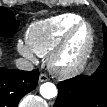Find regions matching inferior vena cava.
Returning <instances> with one entry per match:
<instances>
[{
  "mask_svg": "<svg viewBox=\"0 0 107 107\" xmlns=\"http://www.w3.org/2000/svg\"><path fill=\"white\" fill-rule=\"evenodd\" d=\"M16 67L20 70L31 71L34 69L33 64L24 58H18L15 60Z\"/></svg>",
  "mask_w": 107,
  "mask_h": 107,
  "instance_id": "obj_1",
  "label": "inferior vena cava"
}]
</instances>
